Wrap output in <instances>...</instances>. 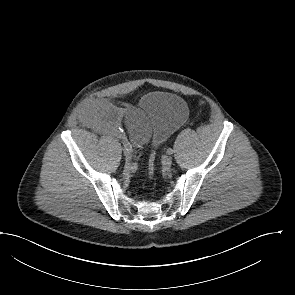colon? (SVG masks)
Wrapping results in <instances>:
<instances>
[{
	"label": "colon",
	"instance_id": "1",
	"mask_svg": "<svg viewBox=\"0 0 295 295\" xmlns=\"http://www.w3.org/2000/svg\"><path fill=\"white\" fill-rule=\"evenodd\" d=\"M155 153H152L149 157V160H148V173H149V176H152L153 173H154V168H155Z\"/></svg>",
	"mask_w": 295,
	"mask_h": 295
}]
</instances>
